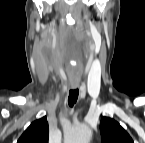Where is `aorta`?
<instances>
[{
    "label": "aorta",
    "mask_w": 145,
    "mask_h": 143,
    "mask_svg": "<svg viewBox=\"0 0 145 143\" xmlns=\"http://www.w3.org/2000/svg\"><path fill=\"white\" fill-rule=\"evenodd\" d=\"M91 135L92 131L88 126H75L65 134V143H88Z\"/></svg>",
    "instance_id": "obj_1"
}]
</instances>
